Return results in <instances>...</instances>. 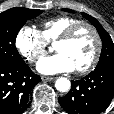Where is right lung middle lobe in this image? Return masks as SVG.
<instances>
[{
	"label": "right lung middle lobe",
	"instance_id": "dd1d6c3e",
	"mask_svg": "<svg viewBox=\"0 0 114 114\" xmlns=\"http://www.w3.org/2000/svg\"><path fill=\"white\" fill-rule=\"evenodd\" d=\"M41 14L38 9L12 8L0 13V64L14 65L24 62L19 55L15 40L27 20Z\"/></svg>",
	"mask_w": 114,
	"mask_h": 114
}]
</instances>
